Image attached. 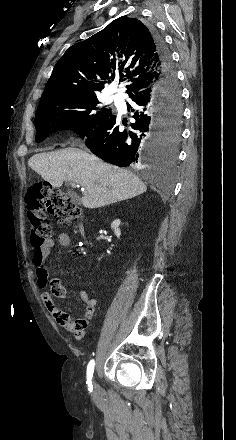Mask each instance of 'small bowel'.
<instances>
[{
  "label": "small bowel",
  "instance_id": "small-bowel-1",
  "mask_svg": "<svg viewBox=\"0 0 236 440\" xmlns=\"http://www.w3.org/2000/svg\"><path fill=\"white\" fill-rule=\"evenodd\" d=\"M57 242L60 246L67 247L71 244V237L68 233H59L57 236ZM53 246L54 240L50 238L41 246L35 247L33 251V264L36 267L37 281L39 287L43 290L41 299L47 311L59 323L60 330H68L77 338H82L85 330L88 329V320L95 311L97 300L90 297L88 291L81 290L79 297L85 305V312L82 313L76 321H61L69 318V316L56 305L53 297L55 296L57 298L65 299L67 298V291L58 277H53L48 281V272L43 267V263L49 256Z\"/></svg>",
  "mask_w": 236,
  "mask_h": 440
}]
</instances>
